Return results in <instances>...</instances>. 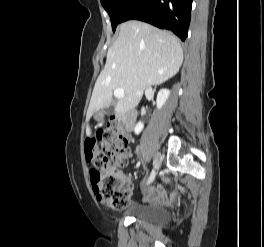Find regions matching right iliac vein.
Returning <instances> with one entry per match:
<instances>
[{
	"instance_id": "obj_1",
	"label": "right iliac vein",
	"mask_w": 264,
	"mask_h": 247,
	"mask_svg": "<svg viewBox=\"0 0 264 247\" xmlns=\"http://www.w3.org/2000/svg\"><path fill=\"white\" fill-rule=\"evenodd\" d=\"M153 166L155 170H158L161 166V156L158 153L154 157Z\"/></svg>"
}]
</instances>
